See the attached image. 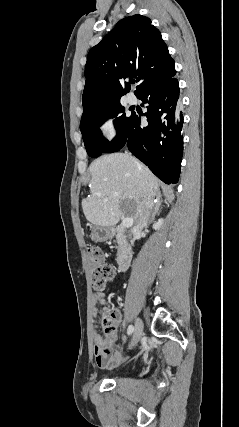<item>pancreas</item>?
Returning <instances> with one entry per match:
<instances>
[{
	"label": "pancreas",
	"instance_id": "cf45deb5",
	"mask_svg": "<svg viewBox=\"0 0 239 427\" xmlns=\"http://www.w3.org/2000/svg\"><path fill=\"white\" fill-rule=\"evenodd\" d=\"M120 229H121V227H118V228L116 229V231H117L116 239H117V243H118L119 245H121V243H122V236H121V233H120Z\"/></svg>",
	"mask_w": 239,
	"mask_h": 427
}]
</instances>
